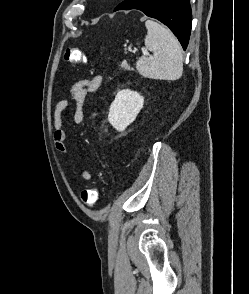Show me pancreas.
Masks as SVG:
<instances>
[{
    "label": "pancreas",
    "mask_w": 249,
    "mask_h": 294,
    "mask_svg": "<svg viewBox=\"0 0 249 294\" xmlns=\"http://www.w3.org/2000/svg\"><path fill=\"white\" fill-rule=\"evenodd\" d=\"M120 67H121V69H124V70H130L131 69L129 64L125 60L120 64Z\"/></svg>",
    "instance_id": "pancreas-1"
}]
</instances>
